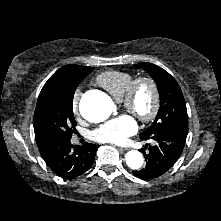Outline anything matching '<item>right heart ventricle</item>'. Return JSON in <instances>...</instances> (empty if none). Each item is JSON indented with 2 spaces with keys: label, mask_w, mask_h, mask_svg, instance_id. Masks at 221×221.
<instances>
[{
  "label": "right heart ventricle",
  "mask_w": 221,
  "mask_h": 221,
  "mask_svg": "<svg viewBox=\"0 0 221 221\" xmlns=\"http://www.w3.org/2000/svg\"><path fill=\"white\" fill-rule=\"evenodd\" d=\"M133 75L128 72L109 70L96 77V82L106 89L116 100L120 101Z\"/></svg>",
  "instance_id": "right-heart-ventricle-1"
}]
</instances>
